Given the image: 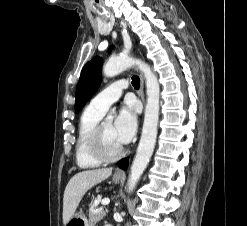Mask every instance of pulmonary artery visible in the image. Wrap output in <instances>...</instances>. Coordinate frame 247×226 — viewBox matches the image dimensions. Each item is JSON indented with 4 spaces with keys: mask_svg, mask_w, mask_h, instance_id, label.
<instances>
[{
    "mask_svg": "<svg viewBox=\"0 0 247 226\" xmlns=\"http://www.w3.org/2000/svg\"><path fill=\"white\" fill-rule=\"evenodd\" d=\"M128 87L125 80H118L110 84L108 87L99 92L91 101L89 106L104 114L108 108L117 101L123 93V90Z\"/></svg>",
    "mask_w": 247,
    "mask_h": 226,
    "instance_id": "1",
    "label": "pulmonary artery"
}]
</instances>
